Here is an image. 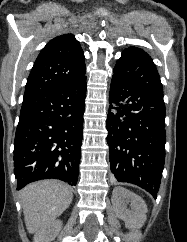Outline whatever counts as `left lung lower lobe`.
<instances>
[{"label":"left lung lower lobe","instance_id":"1","mask_svg":"<svg viewBox=\"0 0 187 242\" xmlns=\"http://www.w3.org/2000/svg\"><path fill=\"white\" fill-rule=\"evenodd\" d=\"M109 103L111 172L118 181L133 183L156 198L165 160L163 97L113 75Z\"/></svg>","mask_w":187,"mask_h":242}]
</instances>
